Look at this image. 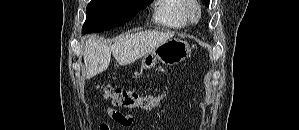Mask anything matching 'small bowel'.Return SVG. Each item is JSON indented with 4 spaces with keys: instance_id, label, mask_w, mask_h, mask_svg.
<instances>
[{
    "instance_id": "small-bowel-1",
    "label": "small bowel",
    "mask_w": 299,
    "mask_h": 130,
    "mask_svg": "<svg viewBox=\"0 0 299 130\" xmlns=\"http://www.w3.org/2000/svg\"><path fill=\"white\" fill-rule=\"evenodd\" d=\"M107 114L118 124L129 126L132 123V117L128 114L116 111L112 108L106 109ZM99 130H113L109 124L103 123L99 126Z\"/></svg>"
}]
</instances>
